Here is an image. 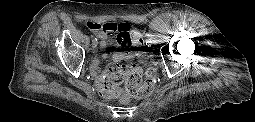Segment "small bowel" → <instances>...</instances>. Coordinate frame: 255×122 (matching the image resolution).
Returning a JSON list of instances; mask_svg holds the SVG:
<instances>
[{"mask_svg": "<svg viewBox=\"0 0 255 122\" xmlns=\"http://www.w3.org/2000/svg\"><path fill=\"white\" fill-rule=\"evenodd\" d=\"M97 38H98V43L99 46L104 48L107 46L108 44V34L103 32V31H97L95 32ZM116 44L120 47L122 46H126L124 44V38H122L121 36L117 37L116 40ZM104 58H107V53L103 54ZM113 60L114 62H122V61H127V62H131L134 60V55L131 52H118V51H114L113 53ZM99 66V62L98 61H94L93 63V70H96Z\"/></svg>", "mask_w": 255, "mask_h": 122, "instance_id": "small-bowel-1", "label": "small bowel"}]
</instances>
